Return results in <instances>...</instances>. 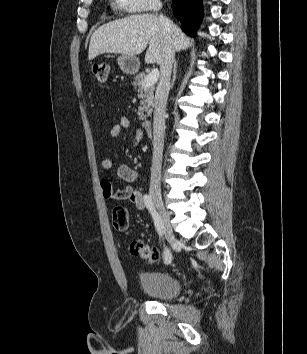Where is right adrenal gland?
I'll use <instances>...</instances> for the list:
<instances>
[{
  "instance_id": "2a0ac1e0",
  "label": "right adrenal gland",
  "mask_w": 307,
  "mask_h": 354,
  "mask_svg": "<svg viewBox=\"0 0 307 354\" xmlns=\"http://www.w3.org/2000/svg\"><path fill=\"white\" fill-rule=\"evenodd\" d=\"M176 74H177V61L174 62V66H173V78H172L171 87L174 86V82H175V79H176Z\"/></svg>"
}]
</instances>
